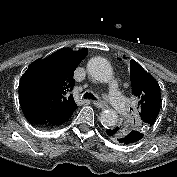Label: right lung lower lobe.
Listing matches in <instances>:
<instances>
[{
  "mask_svg": "<svg viewBox=\"0 0 177 177\" xmlns=\"http://www.w3.org/2000/svg\"><path fill=\"white\" fill-rule=\"evenodd\" d=\"M30 123L40 129H52L59 127L64 123H57L56 121L46 119L44 116L34 114V113H25Z\"/></svg>",
  "mask_w": 177,
  "mask_h": 177,
  "instance_id": "1",
  "label": "right lung lower lobe"
}]
</instances>
